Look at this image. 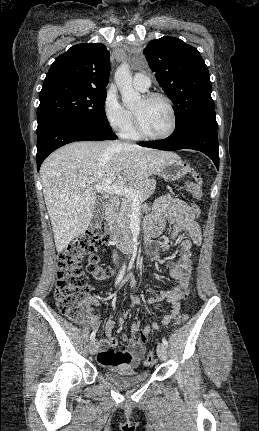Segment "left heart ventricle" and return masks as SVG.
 <instances>
[{
  "label": "left heart ventricle",
  "mask_w": 259,
  "mask_h": 431,
  "mask_svg": "<svg viewBox=\"0 0 259 431\" xmlns=\"http://www.w3.org/2000/svg\"><path fill=\"white\" fill-rule=\"evenodd\" d=\"M146 132L152 135L165 133L171 123V116L166 103L161 99L145 101L143 97L133 108Z\"/></svg>",
  "instance_id": "b2bd125f"
}]
</instances>
